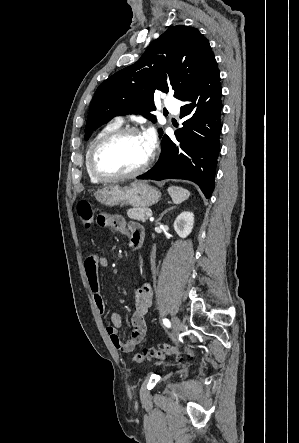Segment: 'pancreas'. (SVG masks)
<instances>
[{
	"label": "pancreas",
	"instance_id": "obj_1",
	"mask_svg": "<svg viewBox=\"0 0 299 443\" xmlns=\"http://www.w3.org/2000/svg\"><path fill=\"white\" fill-rule=\"evenodd\" d=\"M150 212V209L147 207H133L127 210V214L130 218L145 222L147 219L146 213Z\"/></svg>",
	"mask_w": 299,
	"mask_h": 443
}]
</instances>
